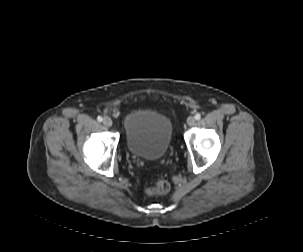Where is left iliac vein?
<instances>
[{
    "label": "left iliac vein",
    "instance_id": "1",
    "mask_svg": "<svg viewBox=\"0 0 303 252\" xmlns=\"http://www.w3.org/2000/svg\"><path fill=\"white\" fill-rule=\"evenodd\" d=\"M195 123H196V119H195L193 116L188 117V119H187V124H188L189 126H194Z\"/></svg>",
    "mask_w": 303,
    "mask_h": 252
}]
</instances>
